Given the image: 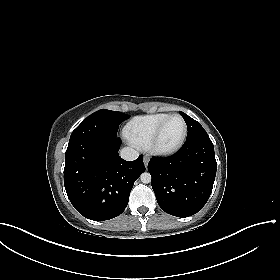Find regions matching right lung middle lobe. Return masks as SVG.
<instances>
[{"label": "right lung middle lobe", "instance_id": "dd1d6c3e", "mask_svg": "<svg viewBox=\"0 0 280 280\" xmlns=\"http://www.w3.org/2000/svg\"><path fill=\"white\" fill-rule=\"evenodd\" d=\"M128 118L130 116L119 111L99 110L88 116L72 132L69 143L85 137H116L119 125Z\"/></svg>", "mask_w": 280, "mask_h": 280}]
</instances>
